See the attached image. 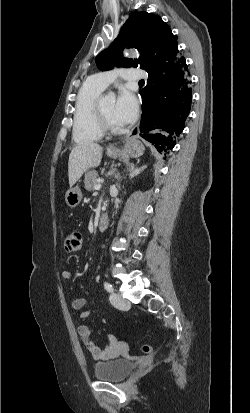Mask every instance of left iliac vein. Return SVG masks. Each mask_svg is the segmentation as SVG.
<instances>
[{
    "label": "left iliac vein",
    "mask_w": 250,
    "mask_h": 413,
    "mask_svg": "<svg viewBox=\"0 0 250 413\" xmlns=\"http://www.w3.org/2000/svg\"><path fill=\"white\" fill-rule=\"evenodd\" d=\"M110 302L112 303L113 306H115L118 309H128L130 307V302L123 298L121 295L112 293L110 295Z\"/></svg>",
    "instance_id": "left-iliac-vein-1"
}]
</instances>
